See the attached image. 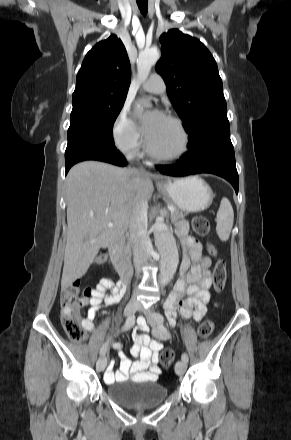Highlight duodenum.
<instances>
[{"label":"duodenum","mask_w":291,"mask_h":440,"mask_svg":"<svg viewBox=\"0 0 291 440\" xmlns=\"http://www.w3.org/2000/svg\"><path fill=\"white\" fill-rule=\"evenodd\" d=\"M126 241L124 238L119 237L114 239L108 246V251L112 257V260L119 271L120 282L126 285L130 279V264L125 253Z\"/></svg>","instance_id":"1"}]
</instances>
